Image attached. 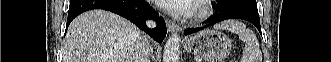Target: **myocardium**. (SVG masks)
Masks as SVG:
<instances>
[{"label": "myocardium", "instance_id": "obj_1", "mask_svg": "<svg viewBox=\"0 0 331 62\" xmlns=\"http://www.w3.org/2000/svg\"><path fill=\"white\" fill-rule=\"evenodd\" d=\"M212 14V7L210 1L198 0L194 3L191 18L195 21L207 19Z\"/></svg>", "mask_w": 331, "mask_h": 62}]
</instances>
